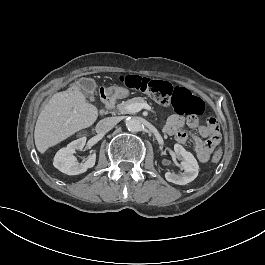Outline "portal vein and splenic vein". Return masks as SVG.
<instances>
[{
	"instance_id": "18ae733b",
	"label": "portal vein and splenic vein",
	"mask_w": 265,
	"mask_h": 265,
	"mask_svg": "<svg viewBox=\"0 0 265 265\" xmlns=\"http://www.w3.org/2000/svg\"><path fill=\"white\" fill-rule=\"evenodd\" d=\"M125 108H126V110L129 113L139 112L142 108L143 109H146L148 111H151L152 110V108L148 104H129V105H126Z\"/></svg>"
}]
</instances>
